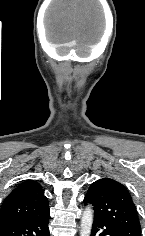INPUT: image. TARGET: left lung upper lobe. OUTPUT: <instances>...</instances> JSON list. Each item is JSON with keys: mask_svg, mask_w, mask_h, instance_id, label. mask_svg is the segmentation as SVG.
<instances>
[{"mask_svg": "<svg viewBox=\"0 0 145 236\" xmlns=\"http://www.w3.org/2000/svg\"><path fill=\"white\" fill-rule=\"evenodd\" d=\"M84 203L92 204L95 217L119 236H141L136 207L127 188L121 183L111 178L95 181L91 184Z\"/></svg>", "mask_w": 145, "mask_h": 236, "instance_id": "obj_1", "label": "left lung upper lobe"}]
</instances>
